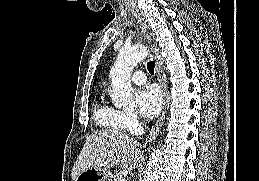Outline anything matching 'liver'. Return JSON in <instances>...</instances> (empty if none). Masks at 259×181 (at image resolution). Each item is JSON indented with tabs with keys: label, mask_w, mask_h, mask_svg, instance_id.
<instances>
[{
	"label": "liver",
	"mask_w": 259,
	"mask_h": 181,
	"mask_svg": "<svg viewBox=\"0 0 259 181\" xmlns=\"http://www.w3.org/2000/svg\"><path fill=\"white\" fill-rule=\"evenodd\" d=\"M143 162V153L137 141L115 130L90 134L72 169V180L88 168H109L119 165L124 170L137 168Z\"/></svg>",
	"instance_id": "liver-1"
}]
</instances>
